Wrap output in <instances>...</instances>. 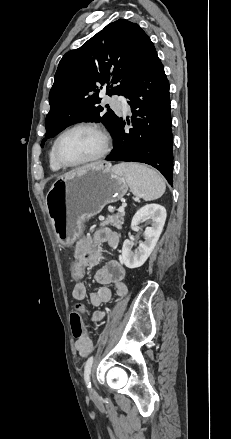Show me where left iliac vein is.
Wrapping results in <instances>:
<instances>
[{
  "label": "left iliac vein",
  "mask_w": 231,
  "mask_h": 439,
  "mask_svg": "<svg viewBox=\"0 0 231 439\" xmlns=\"http://www.w3.org/2000/svg\"><path fill=\"white\" fill-rule=\"evenodd\" d=\"M89 394H90L91 398L95 399L97 397V393H96V391L93 388L89 389Z\"/></svg>",
  "instance_id": "left-iliac-vein-1"
}]
</instances>
